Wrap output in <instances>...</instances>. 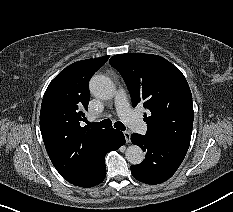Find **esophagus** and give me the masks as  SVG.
<instances>
[{
  "label": "esophagus",
  "instance_id": "obj_1",
  "mask_svg": "<svg viewBox=\"0 0 233 212\" xmlns=\"http://www.w3.org/2000/svg\"><path fill=\"white\" fill-rule=\"evenodd\" d=\"M123 134H124L126 142L129 143L131 134L128 131H124Z\"/></svg>",
  "mask_w": 233,
  "mask_h": 212
}]
</instances>
